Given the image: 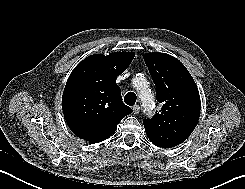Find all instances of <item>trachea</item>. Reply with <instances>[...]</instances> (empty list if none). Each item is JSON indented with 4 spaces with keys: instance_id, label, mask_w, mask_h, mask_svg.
I'll return each instance as SVG.
<instances>
[{
    "instance_id": "trachea-1",
    "label": "trachea",
    "mask_w": 245,
    "mask_h": 189,
    "mask_svg": "<svg viewBox=\"0 0 245 189\" xmlns=\"http://www.w3.org/2000/svg\"><path fill=\"white\" fill-rule=\"evenodd\" d=\"M136 94L135 93H133V92H129V93H127L126 95H125V97H124V101H125V103L127 104V105H129V106H133L134 104H135V102H136Z\"/></svg>"
}]
</instances>
